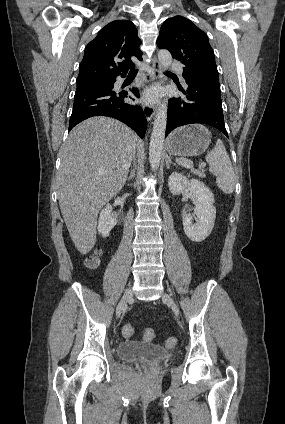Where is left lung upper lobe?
<instances>
[{"instance_id":"5c2ea615","label":"left lung upper lobe","mask_w":285,"mask_h":424,"mask_svg":"<svg viewBox=\"0 0 285 424\" xmlns=\"http://www.w3.org/2000/svg\"><path fill=\"white\" fill-rule=\"evenodd\" d=\"M157 45L169 50L173 58L182 61L185 65V79L199 72L218 74L207 35L185 17L175 16L164 21Z\"/></svg>"}]
</instances>
